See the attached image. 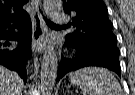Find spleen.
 <instances>
[{"instance_id": "obj_1", "label": "spleen", "mask_w": 135, "mask_h": 95, "mask_svg": "<svg viewBox=\"0 0 135 95\" xmlns=\"http://www.w3.org/2000/svg\"><path fill=\"white\" fill-rule=\"evenodd\" d=\"M69 78L80 86L83 95H123L118 80L104 68H82L71 72Z\"/></svg>"}]
</instances>
